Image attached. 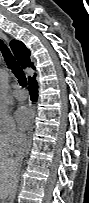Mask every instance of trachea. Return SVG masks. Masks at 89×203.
<instances>
[{
  "label": "trachea",
  "mask_w": 89,
  "mask_h": 203,
  "mask_svg": "<svg viewBox=\"0 0 89 203\" xmlns=\"http://www.w3.org/2000/svg\"><path fill=\"white\" fill-rule=\"evenodd\" d=\"M0 51L4 57V60L7 66L12 70L16 78L18 79L21 86H27V79L23 69L19 66L15 57L12 55L9 48L4 44L2 40H0Z\"/></svg>",
  "instance_id": "trachea-1"
}]
</instances>
